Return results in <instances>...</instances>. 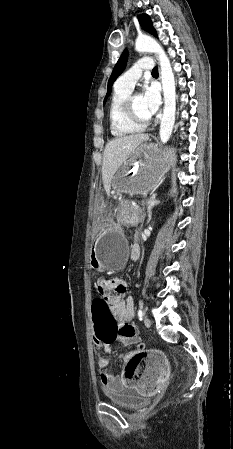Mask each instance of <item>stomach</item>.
I'll return each mask as SVG.
<instances>
[{"label": "stomach", "instance_id": "1", "mask_svg": "<svg viewBox=\"0 0 233 449\" xmlns=\"http://www.w3.org/2000/svg\"><path fill=\"white\" fill-rule=\"evenodd\" d=\"M175 155L171 149L159 150L152 143L141 144L112 181V193L120 195H146L156 188L165 172L174 164ZM111 212H96L98 237L93 241L90 256L91 267L97 271L119 270L123 267L128 243L119 227H112Z\"/></svg>", "mask_w": 233, "mask_h": 449}]
</instances>
